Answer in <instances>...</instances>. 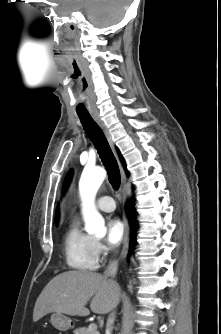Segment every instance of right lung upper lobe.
<instances>
[{
  "instance_id": "right-lung-upper-lobe-1",
  "label": "right lung upper lobe",
  "mask_w": 221,
  "mask_h": 334,
  "mask_svg": "<svg viewBox=\"0 0 221 334\" xmlns=\"http://www.w3.org/2000/svg\"><path fill=\"white\" fill-rule=\"evenodd\" d=\"M120 158H121L122 163H123V165H124V167H125V169H126L125 162H124V160H123V158H122L121 155H120ZM57 222H58V212L56 213V216H55V223L57 224Z\"/></svg>"
}]
</instances>
